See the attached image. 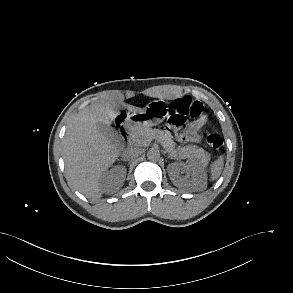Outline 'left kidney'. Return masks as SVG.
<instances>
[{"label": "left kidney", "instance_id": "5707ae66", "mask_svg": "<svg viewBox=\"0 0 293 293\" xmlns=\"http://www.w3.org/2000/svg\"><path fill=\"white\" fill-rule=\"evenodd\" d=\"M172 168L171 179L177 187H190L194 190H204L207 184V176L202 166L195 163L175 162L170 164ZM186 173L182 177L180 174Z\"/></svg>", "mask_w": 293, "mask_h": 293}]
</instances>
